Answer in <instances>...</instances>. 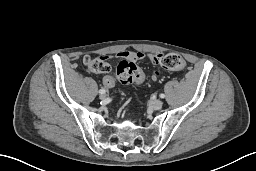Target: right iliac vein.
Instances as JSON below:
<instances>
[{
  "label": "right iliac vein",
  "mask_w": 256,
  "mask_h": 171,
  "mask_svg": "<svg viewBox=\"0 0 256 171\" xmlns=\"http://www.w3.org/2000/svg\"><path fill=\"white\" fill-rule=\"evenodd\" d=\"M99 98L103 100V99L106 98V95H105V94H100V95H99Z\"/></svg>",
  "instance_id": "right-iliac-vein-1"
}]
</instances>
